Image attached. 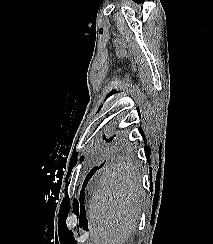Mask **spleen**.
Wrapping results in <instances>:
<instances>
[{"label": "spleen", "mask_w": 213, "mask_h": 244, "mask_svg": "<svg viewBox=\"0 0 213 244\" xmlns=\"http://www.w3.org/2000/svg\"><path fill=\"white\" fill-rule=\"evenodd\" d=\"M99 183L88 211L92 240L95 244H124L139 219L142 181L131 168L111 164L103 169Z\"/></svg>", "instance_id": "spleen-1"}]
</instances>
